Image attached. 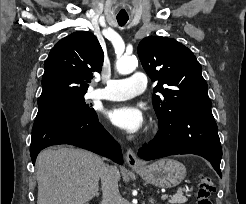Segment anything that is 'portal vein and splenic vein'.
I'll use <instances>...</instances> for the list:
<instances>
[{
  "label": "portal vein and splenic vein",
  "mask_w": 246,
  "mask_h": 204,
  "mask_svg": "<svg viewBox=\"0 0 246 204\" xmlns=\"http://www.w3.org/2000/svg\"><path fill=\"white\" fill-rule=\"evenodd\" d=\"M177 195H182V192H181V191L178 192ZM167 198H168L167 195H162V196H161V199H167Z\"/></svg>",
  "instance_id": "1"
}]
</instances>
